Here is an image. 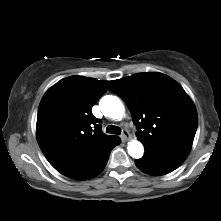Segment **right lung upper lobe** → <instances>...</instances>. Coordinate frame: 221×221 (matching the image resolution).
<instances>
[{
  "instance_id": "1",
  "label": "right lung upper lobe",
  "mask_w": 221,
  "mask_h": 221,
  "mask_svg": "<svg viewBox=\"0 0 221 221\" xmlns=\"http://www.w3.org/2000/svg\"><path fill=\"white\" fill-rule=\"evenodd\" d=\"M111 83L70 76L44 94L38 108L36 135L41 150L56 170L89 160L118 138L105 135L100 120L91 112Z\"/></svg>"
}]
</instances>
